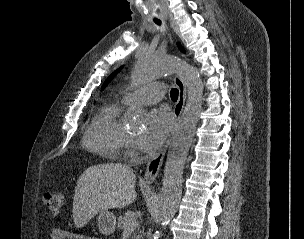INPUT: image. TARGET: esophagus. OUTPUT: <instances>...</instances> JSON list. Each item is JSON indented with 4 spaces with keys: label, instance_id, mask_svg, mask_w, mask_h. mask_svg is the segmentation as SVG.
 <instances>
[{
    "label": "esophagus",
    "instance_id": "obj_1",
    "mask_svg": "<svg viewBox=\"0 0 304 239\" xmlns=\"http://www.w3.org/2000/svg\"><path fill=\"white\" fill-rule=\"evenodd\" d=\"M174 82L178 88L179 94H178V100L174 106L173 109V113H174V118H175V123H174V127L171 131V134L169 135L166 143L164 144V146L162 147V149L160 150V152L158 154H156L155 156H153L150 161L148 162L147 166H146V170L144 173V177L143 180L147 183H152L156 180V178L158 177L159 173H160V169L161 166L163 164V160L164 157L166 155L168 146L170 144L171 141V137L172 134L177 126V123L180 119V116L182 114L183 111V107L185 104V99H186V86L184 84V81L181 79V77L179 75H175L174 76Z\"/></svg>",
    "mask_w": 304,
    "mask_h": 239
}]
</instances>
